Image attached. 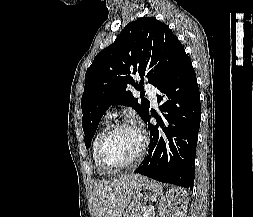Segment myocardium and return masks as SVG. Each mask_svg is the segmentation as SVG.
Segmentation results:
<instances>
[{
    "label": "myocardium",
    "mask_w": 253,
    "mask_h": 217,
    "mask_svg": "<svg viewBox=\"0 0 253 217\" xmlns=\"http://www.w3.org/2000/svg\"><path fill=\"white\" fill-rule=\"evenodd\" d=\"M121 128H134V129H136L140 135L141 145H140V149H139L137 155L129 163H127L123 166L114 168V167L108 166L104 162L103 148H104V145H105L107 139L111 136V134ZM147 147H148L147 135L145 134V132L141 128L133 125L132 123L126 122V121L114 123L103 133V135L101 136V138L99 140V143L97 146V152H96L98 167L104 174H116V173L122 172L124 170H127V169L135 166L137 163H139L141 161V159L144 157V155L146 153Z\"/></svg>",
    "instance_id": "myocardium-1"
}]
</instances>
